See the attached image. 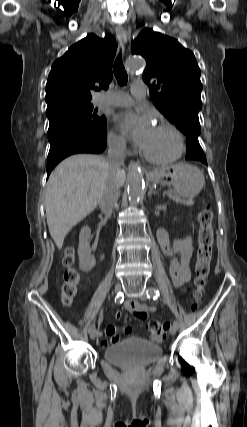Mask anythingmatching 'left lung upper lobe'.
I'll return each mask as SVG.
<instances>
[{"label": "left lung upper lobe", "instance_id": "left-lung-upper-lobe-1", "mask_svg": "<svg viewBox=\"0 0 247 427\" xmlns=\"http://www.w3.org/2000/svg\"><path fill=\"white\" fill-rule=\"evenodd\" d=\"M131 49L146 59L143 80L150 85L155 106L186 136L198 139L202 84L194 54L177 40L148 28L132 41Z\"/></svg>", "mask_w": 247, "mask_h": 427}]
</instances>
